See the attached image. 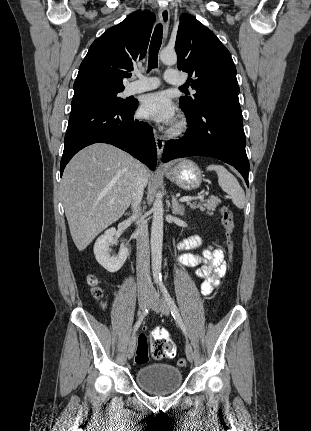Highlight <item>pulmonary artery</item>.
Wrapping results in <instances>:
<instances>
[{
	"label": "pulmonary artery",
	"instance_id": "pulmonary-artery-1",
	"mask_svg": "<svg viewBox=\"0 0 311 431\" xmlns=\"http://www.w3.org/2000/svg\"><path fill=\"white\" fill-rule=\"evenodd\" d=\"M175 70H167L163 79L169 84H182L184 81L174 76ZM160 85L157 77L138 75V79L128 84L125 89L127 95H134L153 90Z\"/></svg>",
	"mask_w": 311,
	"mask_h": 431
}]
</instances>
